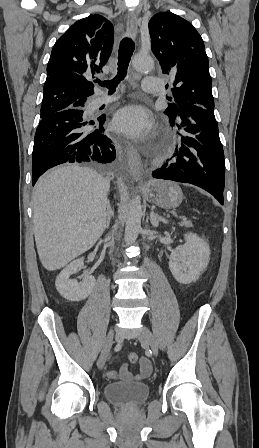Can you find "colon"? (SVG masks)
Masks as SVG:
<instances>
[{"mask_svg":"<svg viewBox=\"0 0 259 448\" xmlns=\"http://www.w3.org/2000/svg\"><path fill=\"white\" fill-rule=\"evenodd\" d=\"M128 359L131 363H136L139 360V356L136 353H130Z\"/></svg>","mask_w":259,"mask_h":448,"instance_id":"1","label":"colon"}]
</instances>
